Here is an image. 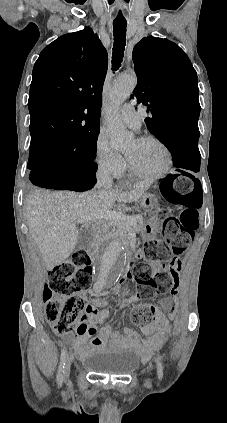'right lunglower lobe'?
Returning a JSON list of instances; mask_svg holds the SVG:
<instances>
[{
  "label": "right lung lower lobe",
  "instance_id": "obj_1",
  "mask_svg": "<svg viewBox=\"0 0 227 423\" xmlns=\"http://www.w3.org/2000/svg\"><path fill=\"white\" fill-rule=\"evenodd\" d=\"M97 164L50 158L44 165L31 169L29 179L39 187L83 192L96 183Z\"/></svg>",
  "mask_w": 227,
  "mask_h": 423
}]
</instances>
